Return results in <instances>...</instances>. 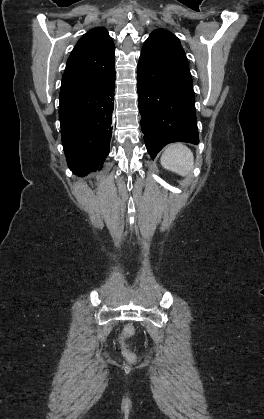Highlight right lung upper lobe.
Here are the masks:
<instances>
[{"label":"right lung upper lobe","mask_w":264,"mask_h":419,"mask_svg":"<svg viewBox=\"0 0 264 419\" xmlns=\"http://www.w3.org/2000/svg\"><path fill=\"white\" fill-rule=\"evenodd\" d=\"M115 46L105 28L83 35L67 60L60 90H69L106 80L115 72Z\"/></svg>","instance_id":"right-lung-upper-lobe-1"}]
</instances>
